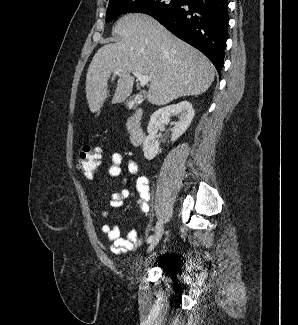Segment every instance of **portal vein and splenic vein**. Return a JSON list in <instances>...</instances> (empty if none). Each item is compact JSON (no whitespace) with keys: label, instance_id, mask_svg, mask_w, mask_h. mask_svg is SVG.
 <instances>
[{"label":"portal vein and splenic vein","instance_id":"portal-vein-and-splenic-vein-1","mask_svg":"<svg viewBox=\"0 0 298 325\" xmlns=\"http://www.w3.org/2000/svg\"><path fill=\"white\" fill-rule=\"evenodd\" d=\"M113 74H120V70H114ZM132 74L139 80L140 86H145V84H148L149 80H152L151 76H145V74L136 72V70H133Z\"/></svg>","mask_w":298,"mask_h":325}]
</instances>
